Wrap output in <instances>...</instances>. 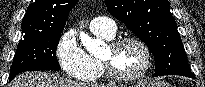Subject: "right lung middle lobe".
<instances>
[{
    "label": "right lung middle lobe",
    "mask_w": 205,
    "mask_h": 87,
    "mask_svg": "<svg viewBox=\"0 0 205 87\" xmlns=\"http://www.w3.org/2000/svg\"><path fill=\"white\" fill-rule=\"evenodd\" d=\"M61 32L25 34L14 55L9 80L24 71L60 70L55 53Z\"/></svg>",
    "instance_id": "right-lung-middle-lobe-1"
}]
</instances>
